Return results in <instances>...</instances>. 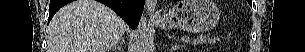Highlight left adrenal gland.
<instances>
[{"instance_id":"1","label":"left adrenal gland","mask_w":305,"mask_h":52,"mask_svg":"<svg viewBox=\"0 0 305 52\" xmlns=\"http://www.w3.org/2000/svg\"><path fill=\"white\" fill-rule=\"evenodd\" d=\"M180 48H181L180 45H174V44H172V50H173V51H176V50H178V49H180Z\"/></svg>"}]
</instances>
